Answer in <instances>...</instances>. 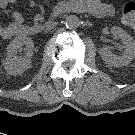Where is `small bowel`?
Instances as JSON below:
<instances>
[{
	"label": "small bowel",
	"instance_id": "c3829d8e",
	"mask_svg": "<svg viewBox=\"0 0 135 135\" xmlns=\"http://www.w3.org/2000/svg\"><path fill=\"white\" fill-rule=\"evenodd\" d=\"M18 0H0V7L6 8ZM88 11L96 17H109L114 14L113 6L103 0H84ZM24 19L21 13L15 12L12 15V22L7 26H0V36L6 39L16 35L25 34Z\"/></svg>",
	"mask_w": 135,
	"mask_h": 135
}]
</instances>
